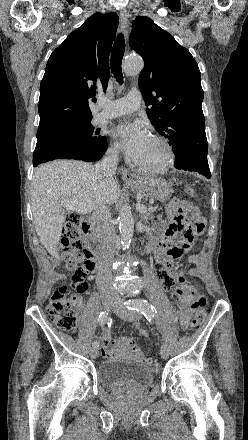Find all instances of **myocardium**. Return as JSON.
Segmentation results:
<instances>
[{
	"instance_id": "1",
	"label": "myocardium",
	"mask_w": 248,
	"mask_h": 440,
	"mask_svg": "<svg viewBox=\"0 0 248 440\" xmlns=\"http://www.w3.org/2000/svg\"><path fill=\"white\" fill-rule=\"evenodd\" d=\"M152 140H154L162 149L163 156H162L161 161L157 165H154V166H145V165L136 163V168L143 173L159 174V173L166 171L169 168V166L173 160V149H172L171 145L169 144V142L165 138H163L159 135H154L152 137Z\"/></svg>"
}]
</instances>
